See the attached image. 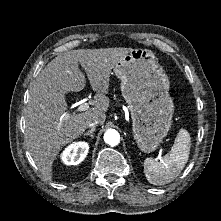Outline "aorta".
Here are the masks:
<instances>
[{
	"label": "aorta",
	"instance_id": "762f6f07",
	"mask_svg": "<svg viewBox=\"0 0 221 221\" xmlns=\"http://www.w3.org/2000/svg\"><path fill=\"white\" fill-rule=\"evenodd\" d=\"M104 141L111 146H116L120 142V135L116 130L109 129L104 133Z\"/></svg>",
	"mask_w": 221,
	"mask_h": 221
}]
</instances>
